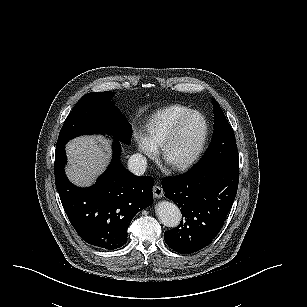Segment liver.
Instances as JSON below:
<instances>
[{
	"mask_svg": "<svg viewBox=\"0 0 307 307\" xmlns=\"http://www.w3.org/2000/svg\"><path fill=\"white\" fill-rule=\"evenodd\" d=\"M113 138L108 134H82L65 144L64 174L71 185L80 189L92 187L113 160ZM125 154V145L120 143Z\"/></svg>",
	"mask_w": 307,
	"mask_h": 307,
	"instance_id": "liver-1",
	"label": "liver"
}]
</instances>
